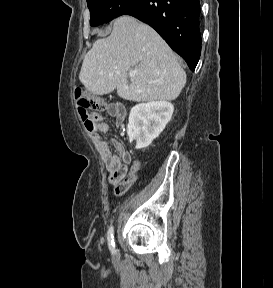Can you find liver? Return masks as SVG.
I'll return each instance as SVG.
<instances>
[{"label": "liver", "mask_w": 273, "mask_h": 288, "mask_svg": "<svg viewBox=\"0 0 273 288\" xmlns=\"http://www.w3.org/2000/svg\"><path fill=\"white\" fill-rule=\"evenodd\" d=\"M130 71L135 72L133 77ZM79 80L94 95L116 89L119 97L129 101H172L180 95L186 74L154 29L122 16L114 21L110 36L94 42L83 60Z\"/></svg>", "instance_id": "6515ba94"}]
</instances>
